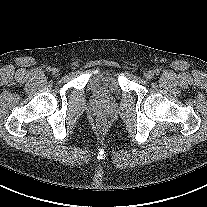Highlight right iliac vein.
<instances>
[{"instance_id":"obj_1","label":"right iliac vein","mask_w":207,"mask_h":207,"mask_svg":"<svg viewBox=\"0 0 207 207\" xmlns=\"http://www.w3.org/2000/svg\"><path fill=\"white\" fill-rule=\"evenodd\" d=\"M52 74L53 76H58L59 75V70L57 68L52 69Z\"/></svg>"}]
</instances>
